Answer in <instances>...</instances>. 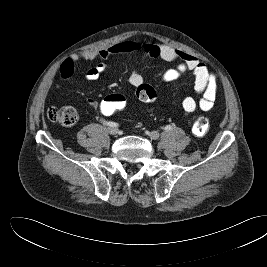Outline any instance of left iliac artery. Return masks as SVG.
I'll return each mask as SVG.
<instances>
[{
  "label": "left iliac artery",
  "mask_w": 267,
  "mask_h": 267,
  "mask_svg": "<svg viewBox=\"0 0 267 267\" xmlns=\"http://www.w3.org/2000/svg\"><path fill=\"white\" fill-rule=\"evenodd\" d=\"M164 130H166V131H169V130H171L172 129V126L171 125H167L166 127H164L163 128Z\"/></svg>",
  "instance_id": "1"
}]
</instances>
